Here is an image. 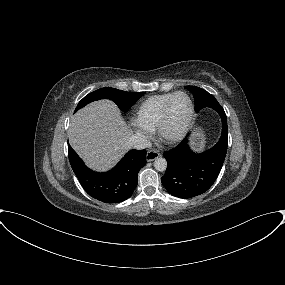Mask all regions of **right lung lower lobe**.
I'll use <instances>...</instances> for the list:
<instances>
[{"instance_id": "obj_1", "label": "right lung lower lobe", "mask_w": 285, "mask_h": 285, "mask_svg": "<svg viewBox=\"0 0 285 285\" xmlns=\"http://www.w3.org/2000/svg\"><path fill=\"white\" fill-rule=\"evenodd\" d=\"M69 161L83 189L104 203L128 199L138 182V172L146 164L145 150H131L110 171L98 173L86 167L68 144Z\"/></svg>"}]
</instances>
